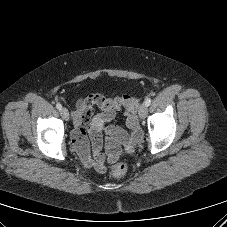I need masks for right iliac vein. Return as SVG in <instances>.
Returning a JSON list of instances; mask_svg holds the SVG:
<instances>
[{
	"label": "right iliac vein",
	"mask_w": 227,
	"mask_h": 227,
	"mask_svg": "<svg viewBox=\"0 0 227 227\" xmlns=\"http://www.w3.org/2000/svg\"><path fill=\"white\" fill-rule=\"evenodd\" d=\"M60 114H61V116H62V118H63L64 120H66V121L69 120V112H68V110H67L66 108H62V109L60 110Z\"/></svg>",
	"instance_id": "obj_1"
}]
</instances>
